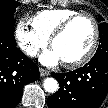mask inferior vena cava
<instances>
[{"label": "inferior vena cava", "mask_w": 108, "mask_h": 108, "mask_svg": "<svg viewBox=\"0 0 108 108\" xmlns=\"http://www.w3.org/2000/svg\"><path fill=\"white\" fill-rule=\"evenodd\" d=\"M24 51L29 56H36L37 54V49L31 46L25 47Z\"/></svg>", "instance_id": "602c4592"}]
</instances>
